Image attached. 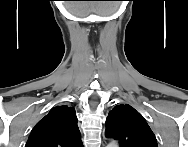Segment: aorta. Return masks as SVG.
I'll list each match as a JSON object with an SVG mask.
<instances>
[{"label": "aorta", "mask_w": 188, "mask_h": 147, "mask_svg": "<svg viewBox=\"0 0 188 147\" xmlns=\"http://www.w3.org/2000/svg\"><path fill=\"white\" fill-rule=\"evenodd\" d=\"M109 146L115 147V146H117V144H116L115 142H111V143L109 144Z\"/></svg>", "instance_id": "1"}]
</instances>
